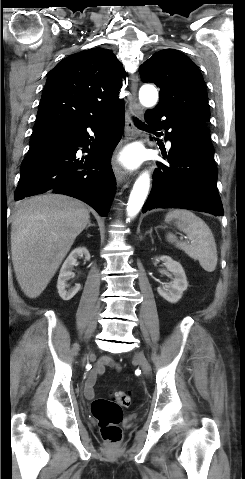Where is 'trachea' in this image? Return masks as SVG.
Returning a JSON list of instances; mask_svg holds the SVG:
<instances>
[{
  "mask_svg": "<svg viewBox=\"0 0 245 479\" xmlns=\"http://www.w3.org/2000/svg\"><path fill=\"white\" fill-rule=\"evenodd\" d=\"M136 125L139 126V127H141V128L146 127V126H145L141 121H139V120H136Z\"/></svg>",
  "mask_w": 245,
  "mask_h": 479,
  "instance_id": "obj_1",
  "label": "trachea"
}]
</instances>
